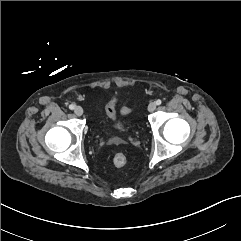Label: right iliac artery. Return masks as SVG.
Masks as SVG:
<instances>
[{
	"label": "right iliac artery",
	"instance_id": "right-iliac-artery-1",
	"mask_svg": "<svg viewBox=\"0 0 241 241\" xmlns=\"http://www.w3.org/2000/svg\"><path fill=\"white\" fill-rule=\"evenodd\" d=\"M74 108H75V105H73V104L69 105V109L73 110Z\"/></svg>",
	"mask_w": 241,
	"mask_h": 241
}]
</instances>
